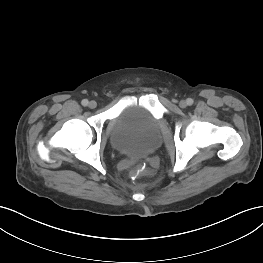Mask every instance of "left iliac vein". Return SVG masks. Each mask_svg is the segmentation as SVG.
<instances>
[{
  "label": "left iliac vein",
  "mask_w": 263,
  "mask_h": 263,
  "mask_svg": "<svg viewBox=\"0 0 263 263\" xmlns=\"http://www.w3.org/2000/svg\"><path fill=\"white\" fill-rule=\"evenodd\" d=\"M179 106H180L181 108H185V107L187 106V102L184 101V100H182V101H180Z\"/></svg>",
  "instance_id": "4c4485c4"
}]
</instances>
